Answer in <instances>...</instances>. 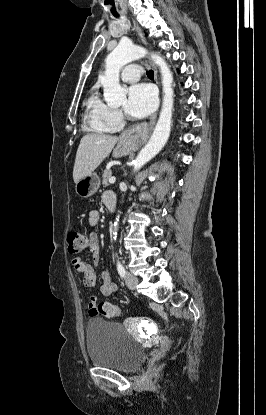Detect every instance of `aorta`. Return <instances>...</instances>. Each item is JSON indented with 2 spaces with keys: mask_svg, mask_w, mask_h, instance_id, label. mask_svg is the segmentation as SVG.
Masks as SVG:
<instances>
[{
  "mask_svg": "<svg viewBox=\"0 0 266 415\" xmlns=\"http://www.w3.org/2000/svg\"><path fill=\"white\" fill-rule=\"evenodd\" d=\"M147 51L131 43H120L106 58L105 73L101 78L104 99L110 106H120L126 99V90L120 86L119 74L122 67L131 61L144 57ZM151 59L159 66L162 85L163 101L159 119L149 142L139 152L134 162V171L142 168L157 155L166 144L171 131L173 97V75L165 60L157 54H151ZM119 218L114 222V240L117 237Z\"/></svg>",
  "mask_w": 266,
  "mask_h": 415,
  "instance_id": "1",
  "label": "aorta"
}]
</instances>
